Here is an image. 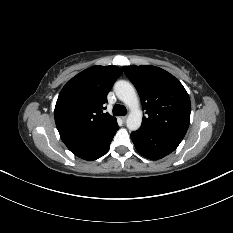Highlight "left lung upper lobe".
Segmentation results:
<instances>
[{
  "label": "left lung upper lobe",
  "instance_id": "left-lung-upper-lobe-1",
  "mask_svg": "<svg viewBox=\"0 0 233 233\" xmlns=\"http://www.w3.org/2000/svg\"><path fill=\"white\" fill-rule=\"evenodd\" d=\"M123 71L135 85L147 114L141 127L184 138L189 127L191 103L180 81L150 65L126 66Z\"/></svg>",
  "mask_w": 233,
  "mask_h": 233
}]
</instances>
